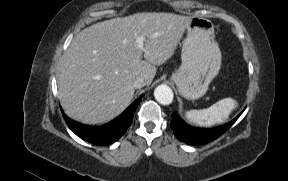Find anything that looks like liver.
I'll list each match as a JSON object with an SVG mask.
<instances>
[{"label": "liver", "instance_id": "6515ba94", "mask_svg": "<svg viewBox=\"0 0 288 181\" xmlns=\"http://www.w3.org/2000/svg\"><path fill=\"white\" fill-rule=\"evenodd\" d=\"M190 20L173 13L148 12L83 29L59 68L58 98L67 116L94 125L119 115L134 97V80L141 77L145 85L151 84L155 66L172 57ZM138 37L146 38L142 50Z\"/></svg>", "mask_w": 288, "mask_h": 181}]
</instances>
